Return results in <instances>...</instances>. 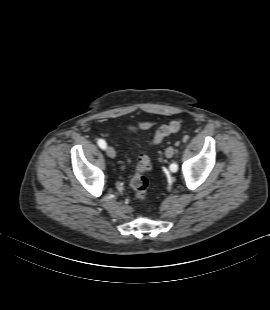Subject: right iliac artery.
I'll use <instances>...</instances> for the list:
<instances>
[{"label":"right iliac artery","mask_w":270,"mask_h":310,"mask_svg":"<svg viewBox=\"0 0 270 310\" xmlns=\"http://www.w3.org/2000/svg\"><path fill=\"white\" fill-rule=\"evenodd\" d=\"M98 145L100 148L105 149L106 148V142L103 139L98 140Z\"/></svg>","instance_id":"82829eb1"}]
</instances>
